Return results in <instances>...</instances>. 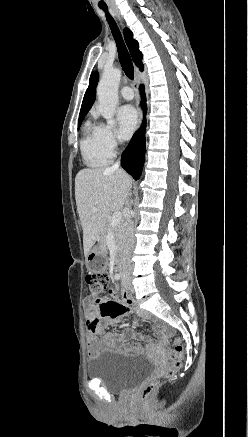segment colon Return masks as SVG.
Returning <instances> with one entry per match:
<instances>
[{
	"mask_svg": "<svg viewBox=\"0 0 248 437\" xmlns=\"http://www.w3.org/2000/svg\"><path fill=\"white\" fill-rule=\"evenodd\" d=\"M110 275L108 272H92L86 277L88 291L90 294H100L109 284ZM114 313V312H113ZM183 346L180 339H175L173 348L169 352L170 362L164 371L163 377L168 378L173 376L181 367V355ZM160 379H155L145 384L139 396L143 400H147L160 384Z\"/></svg>",
	"mask_w": 248,
	"mask_h": 437,
	"instance_id": "colon-1",
	"label": "colon"
}]
</instances>
